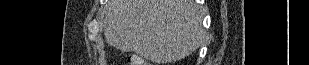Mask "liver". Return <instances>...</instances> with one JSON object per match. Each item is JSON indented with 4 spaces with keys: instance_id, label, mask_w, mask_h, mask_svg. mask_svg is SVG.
<instances>
[{
    "instance_id": "liver-1",
    "label": "liver",
    "mask_w": 309,
    "mask_h": 65,
    "mask_svg": "<svg viewBox=\"0 0 309 65\" xmlns=\"http://www.w3.org/2000/svg\"><path fill=\"white\" fill-rule=\"evenodd\" d=\"M104 36L122 52L173 62L200 47L202 11L194 0H109Z\"/></svg>"
}]
</instances>
